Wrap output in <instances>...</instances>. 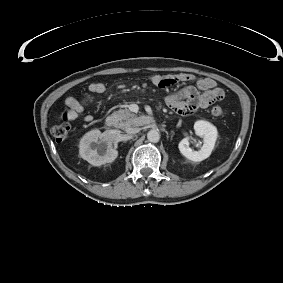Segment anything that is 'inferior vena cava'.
<instances>
[{
    "instance_id": "obj_1",
    "label": "inferior vena cava",
    "mask_w": 283,
    "mask_h": 283,
    "mask_svg": "<svg viewBox=\"0 0 283 283\" xmlns=\"http://www.w3.org/2000/svg\"><path fill=\"white\" fill-rule=\"evenodd\" d=\"M125 131H126V133H128V134H136V133H138L139 131H140V128H138V127H127L126 129H125Z\"/></svg>"
}]
</instances>
